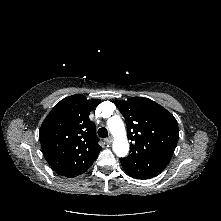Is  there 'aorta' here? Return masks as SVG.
<instances>
[{"instance_id": "obj_1", "label": "aorta", "mask_w": 221, "mask_h": 221, "mask_svg": "<svg viewBox=\"0 0 221 221\" xmlns=\"http://www.w3.org/2000/svg\"><path fill=\"white\" fill-rule=\"evenodd\" d=\"M108 129L114 137L113 151L118 157H125L129 151V143L122 119L115 115L107 121Z\"/></svg>"}]
</instances>
